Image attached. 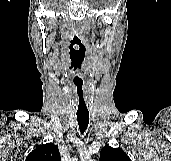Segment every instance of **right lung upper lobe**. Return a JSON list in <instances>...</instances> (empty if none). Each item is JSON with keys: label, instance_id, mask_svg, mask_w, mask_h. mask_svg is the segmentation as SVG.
Here are the masks:
<instances>
[{"label": "right lung upper lobe", "instance_id": "obj_1", "mask_svg": "<svg viewBox=\"0 0 171 161\" xmlns=\"http://www.w3.org/2000/svg\"><path fill=\"white\" fill-rule=\"evenodd\" d=\"M25 161H61V157L57 146L53 143H47L33 150Z\"/></svg>", "mask_w": 171, "mask_h": 161}]
</instances>
